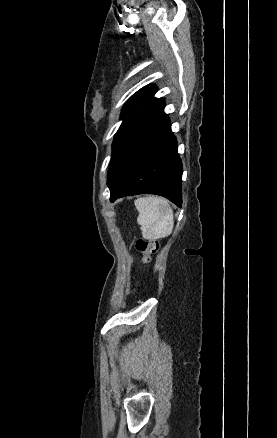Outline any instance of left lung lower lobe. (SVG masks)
<instances>
[{"label": "left lung lower lobe", "mask_w": 277, "mask_h": 438, "mask_svg": "<svg viewBox=\"0 0 277 438\" xmlns=\"http://www.w3.org/2000/svg\"><path fill=\"white\" fill-rule=\"evenodd\" d=\"M163 109V99H155L153 95L140 109L123 166L109 188L111 202L149 193L164 196L181 207L182 161Z\"/></svg>", "instance_id": "1"}]
</instances>
